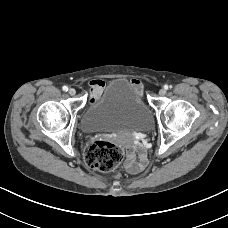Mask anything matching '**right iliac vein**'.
<instances>
[{
	"label": "right iliac vein",
	"mask_w": 228,
	"mask_h": 228,
	"mask_svg": "<svg viewBox=\"0 0 228 228\" xmlns=\"http://www.w3.org/2000/svg\"><path fill=\"white\" fill-rule=\"evenodd\" d=\"M68 93H69L71 96H73V95L76 94V91H75V89L70 88V89L68 90Z\"/></svg>",
	"instance_id": "right-iliac-vein-1"
}]
</instances>
